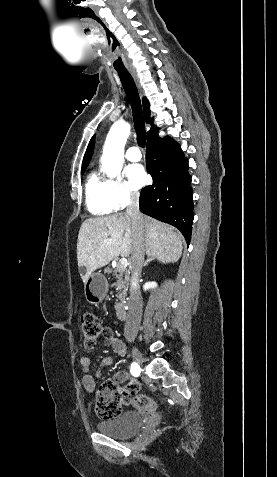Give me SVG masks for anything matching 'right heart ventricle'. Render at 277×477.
<instances>
[{
	"mask_svg": "<svg viewBox=\"0 0 277 477\" xmlns=\"http://www.w3.org/2000/svg\"><path fill=\"white\" fill-rule=\"evenodd\" d=\"M85 202L88 211L96 216L108 215L114 211L109 197V180L97 171H91L86 178Z\"/></svg>",
	"mask_w": 277,
	"mask_h": 477,
	"instance_id": "e07e8e85",
	"label": "right heart ventricle"
}]
</instances>
